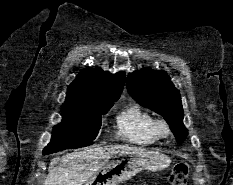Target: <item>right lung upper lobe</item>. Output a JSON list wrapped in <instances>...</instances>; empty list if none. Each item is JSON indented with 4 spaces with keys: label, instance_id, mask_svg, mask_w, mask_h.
Wrapping results in <instances>:
<instances>
[{
    "label": "right lung upper lobe",
    "instance_id": "1",
    "mask_svg": "<svg viewBox=\"0 0 233 185\" xmlns=\"http://www.w3.org/2000/svg\"><path fill=\"white\" fill-rule=\"evenodd\" d=\"M125 73L111 75L101 69L80 72L68 87L65 103L92 105L105 101H117L124 87Z\"/></svg>",
    "mask_w": 233,
    "mask_h": 185
}]
</instances>
